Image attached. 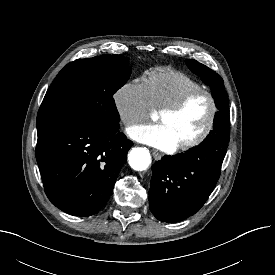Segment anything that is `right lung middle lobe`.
Returning a JSON list of instances; mask_svg holds the SVG:
<instances>
[{"mask_svg":"<svg viewBox=\"0 0 275 275\" xmlns=\"http://www.w3.org/2000/svg\"><path fill=\"white\" fill-rule=\"evenodd\" d=\"M122 55L77 59L67 64L46 92L37 115L38 137L76 124L119 127L113 95L132 68Z\"/></svg>","mask_w":275,"mask_h":275,"instance_id":"right-lung-middle-lobe-1","label":"right lung middle lobe"}]
</instances>
